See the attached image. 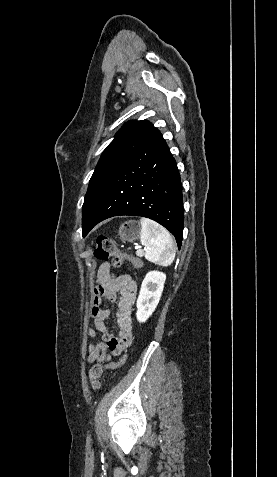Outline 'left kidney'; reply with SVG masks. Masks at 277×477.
<instances>
[{
	"label": "left kidney",
	"mask_w": 277,
	"mask_h": 477,
	"mask_svg": "<svg viewBox=\"0 0 277 477\" xmlns=\"http://www.w3.org/2000/svg\"><path fill=\"white\" fill-rule=\"evenodd\" d=\"M166 275L159 271H150L146 274L137 299V320L145 322L155 311L161 298Z\"/></svg>",
	"instance_id": "obj_1"
}]
</instances>
